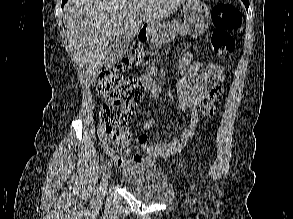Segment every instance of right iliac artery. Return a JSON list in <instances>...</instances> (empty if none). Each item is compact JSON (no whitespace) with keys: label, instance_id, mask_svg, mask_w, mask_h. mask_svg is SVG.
<instances>
[{"label":"right iliac artery","instance_id":"1","mask_svg":"<svg viewBox=\"0 0 293 219\" xmlns=\"http://www.w3.org/2000/svg\"><path fill=\"white\" fill-rule=\"evenodd\" d=\"M107 164H109V163L107 162V160L104 161V162L101 164V166H100V171H101V172H104V171L106 170Z\"/></svg>","mask_w":293,"mask_h":219}]
</instances>
